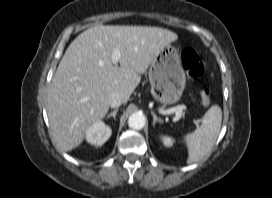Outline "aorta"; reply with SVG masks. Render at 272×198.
<instances>
[{
  "label": "aorta",
  "mask_w": 272,
  "mask_h": 198,
  "mask_svg": "<svg viewBox=\"0 0 272 198\" xmlns=\"http://www.w3.org/2000/svg\"><path fill=\"white\" fill-rule=\"evenodd\" d=\"M128 125L135 130H141L145 125V117L141 113H133L129 116Z\"/></svg>",
  "instance_id": "obj_1"
}]
</instances>
